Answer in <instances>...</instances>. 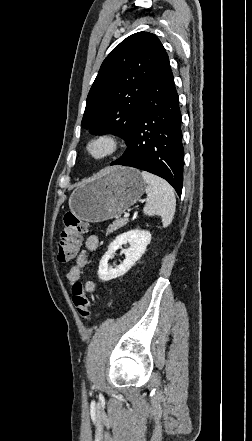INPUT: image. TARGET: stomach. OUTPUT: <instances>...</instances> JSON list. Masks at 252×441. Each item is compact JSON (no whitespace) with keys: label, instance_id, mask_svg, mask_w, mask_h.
Here are the masks:
<instances>
[{"label":"stomach","instance_id":"1","mask_svg":"<svg viewBox=\"0 0 252 441\" xmlns=\"http://www.w3.org/2000/svg\"><path fill=\"white\" fill-rule=\"evenodd\" d=\"M145 189L146 182L139 170L124 166L108 168L76 188L69 207L80 220L102 222L120 217Z\"/></svg>","mask_w":252,"mask_h":441}]
</instances>
